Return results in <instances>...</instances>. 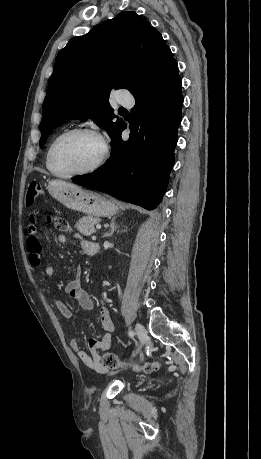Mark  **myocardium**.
I'll return each instance as SVG.
<instances>
[{"label":"myocardium","instance_id":"1","mask_svg":"<svg viewBox=\"0 0 261 459\" xmlns=\"http://www.w3.org/2000/svg\"><path fill=\"white\" fill-rule=\"evenodd\" d=\"M75 134H86V135H90V136L96 138L100 142L101 147H102L101 154L98 157V159L92 165H90L89 167H87L85 169H82V170H79V171H75V172H70V173H60V172L56 171L52 166V156H53L54 149H55L56 145L59 143V141H61L63 138L71 136V135H75ZM108 154H109L108 145L105 142L104 138L100 135L99 132H97L96 130H93L91 128H87V127H77V128H72V129H69V130H66V131L60 133L51 142V144L49 146V149H48V152H47L46 166H47L48 170L53 175L61 177V178H71V177H76V176H82V175L91 174V173L97 171L104 164V162L106 161V159L108 157Z\"/></svg>","mask_w":261,"mask_h":459}]
</instances>
